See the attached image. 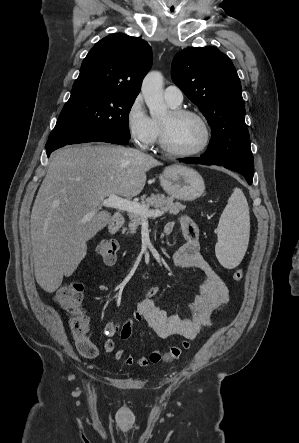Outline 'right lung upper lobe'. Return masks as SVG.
Listing matches in <instances>:
<instances>
[{"label": "right lung upper lobe", "mask_w": 299, "mask_h": 443, "mask_svg": "<svg viewBox=\"0 0 299 443\" xmlns=\"http://www.w3.org/2000/svg\"><path fill=\"white\" fill-rule=\"evenodd\" d=\"M152 64V51L141 38L111 34L89 51L72 90L97 89L137 97Z\"/></svg>", "instance_id": "1"}]
</instances>
